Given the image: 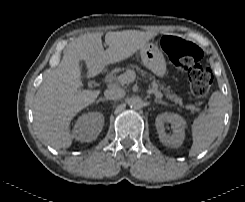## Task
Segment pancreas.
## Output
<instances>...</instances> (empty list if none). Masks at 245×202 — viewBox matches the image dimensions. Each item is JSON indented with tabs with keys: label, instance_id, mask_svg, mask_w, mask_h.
<instances>
[{
	"label": "pancreas",
	"instance_id": "obj_1",
	"mask_svg": "<svg viewBox=\"0 0 245 202\" xmlns=\"http://www.w3.org/2000/svg\"><path fill=\"white\" fill-rule=\"evenodd\" d=\"M142 74H143V71L142 70H139ZM150 80H152V85H153V88L158 90V89H161L164 91V94L165 96L170 99V100H173L176 104H179V105H182V99L177 96L176 94H173L171 93L168 89L164 88L163 85H160L158 81L155 80L154 77H150Z\"/></svg>",
	"mask_w": 245,
	"mask_h": 202
}]
</instances>
